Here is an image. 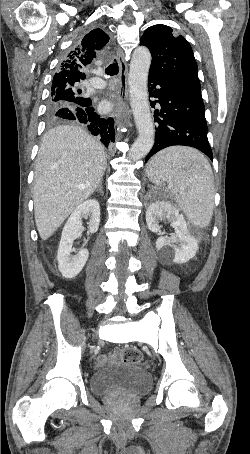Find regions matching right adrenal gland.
<instances>
[{
  "mask_svg": "<svg viewBox=\"0 0 250 454\" xmlns=\"http://www.w3.org/2000/svg\"><path fill=\"white\" fill-rule=\"evenodd\" d=\"M96 191H99L101 194H103V191H102V181L99 183Z\"/></svg>",
  "mask_w": 250,
  "mask_h": 454,
  "instance_id": "2a0ac1e0",
  "label": "right adrenal gland"
}]
</instances>
